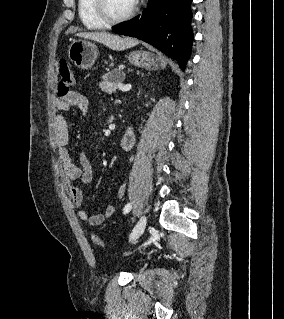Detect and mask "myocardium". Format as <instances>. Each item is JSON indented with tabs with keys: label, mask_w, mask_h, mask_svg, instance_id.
Returning <instances> with one entry per match:
<instances>
[{
	"label": "myocardium",
	"mask_w": 284,
	"mask_h": 319,
	"mask_svg": "<svg viewBox=\"0 0 284 319\" xmlns=\"http://www.w3.org/2000/svg\"><path fill=\"white\" fill-rule=\"evenodd\" d=\"M94 7L98 16L106 23V24H119L129 20L136 12V5L133 3L132 8L124 15L119 17L112 16L108 9L106 0H94Z\"/></svg>",
	"instance_id": "1"
}]
</instances>
